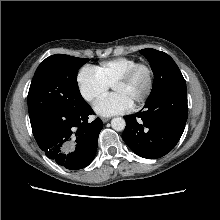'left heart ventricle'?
Here are the masks:
<instances>
[{
    "label": "left heart ventricle",
    "mask_w": 220,
    "mask_h": 220,
    "mask_svg": "<svg viewBox=\"0 0 220 220\" xmlns=\"http://www.w3.org/2000/svg\"><path fill=\"white\" fill-rule=\"evenodd\" d=\"M147 81L148 77L146 71L140 70L127 84L115 86L113 88V93L125 96L133 104L144 94L147 87Z\"/></svg>",
    "instance_id": "b2bd125f"
}]
</instances>
